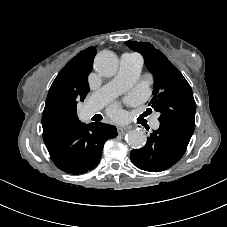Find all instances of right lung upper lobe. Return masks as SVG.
Returning a JSON list of instances; mask_svg holds the SVG:
<instances>
[{
  "label": "right lung upper lobe",
  "instance_id": "1",
  "mask_svg": "<svg viewBox=\"0 0 227 227\" xmlns=\"http://www.w3.org/2000/svg\"><path fill=\"white\" fill-rule=\"evenodd\" d=\"M95 55V47L81 51L63 67L53 81L42 116L43 139L45 143L62 134L54 132L49 128L45 120L46 110L52 103L58 100L83 101L85 99L89 92L88 75L92 70ZM79 123L81 122L79 121Z\"/></svg>",
  "mask_w": 227,
  "mask_h": 227
}]
</instances>
